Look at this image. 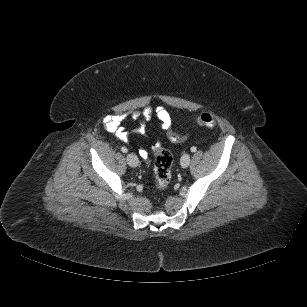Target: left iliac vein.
<instances>
[{"instance_id": "1", "label": "left iliac vein", "mask_w": 307, "mask_h": 307, "mask_svg": "<svg viewBox=\"0 0 307 307\" xmlns=\"http://www.w3.org/2000/svg\"><path fill=\"white\" fill-rule=\"evenodd\" d=\"M180 163L183 168L188 167L190 164V155L188 153L183 154Z\"/></svg>"}]
</instances>
